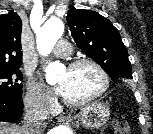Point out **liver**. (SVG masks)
Listing matches in <instances>:
<instances>
[{
    "mask_svg": "<svg viewBox=\"0 0 153 134\" xmlns=\"http://www.w3.org/2000/svg\"><path fill=\"white\" fill-rule=\"evenodd\" d=\"M0 134H23V127L15 124L0 122Z\"/></svg>",
    "mask_w": 153,
    "mask_h": 134,
    "instance_id": "obj_1",
    "label": "liver"
}]
</instances>
